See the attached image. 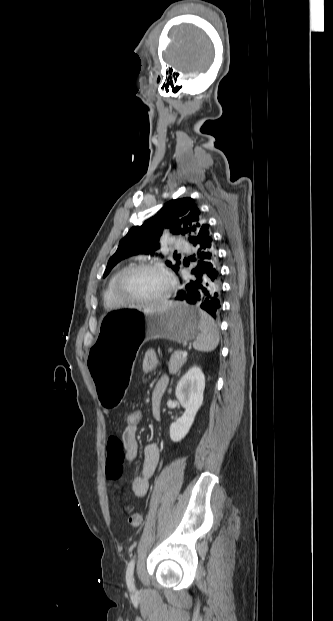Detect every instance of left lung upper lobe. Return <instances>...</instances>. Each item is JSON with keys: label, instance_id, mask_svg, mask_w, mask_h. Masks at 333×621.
I'll list each match as a JSON object with an SVG mask.
<instances>
[{"label": "left lung upper lobe", "instance_id": "1", "mask_svg": "<svg viewBox=\"0 0 333 621\" xmlns=\"http://www.w3.org/2000/svg\"><path fill=\"white\" fill-rule=\"evenodd\" d=\"M208 225L192 198H177L166 203L163 208L153 217L146 220L141 226L132 227L127 235L119 242L115 254L110 257L104 277L121 260L135 254H154L160 247V236L165 229H170L174 234H191L192 242L197 237L201 228ZM180 261L172 264L166 261L176 273L179 270Z\"/></svg>", "mask_w": 333, "mask_h": 621}]
</instances>
